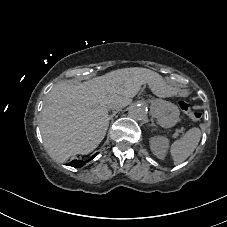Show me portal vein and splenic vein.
I'll return each instance as SVG.
<instances>
[{
  "instance_id": "portal-vein-and-splenic-vein-1",
  "label": "portal vein and splenic vein",
  "mask_w": 227,
  "mask_h": 227,
  "mask_svg": "<svg viewBox=\"0 0 227 227\" xmlns=\"http://www.w3.org/2000/svg\"><path fill=\"white\" fill-rule=\"evenodd\" d=\"M183 134L184 133V130L181 129V128H177L175 131H174V134L172 135L174 139H177L178 138V134Z\"/></svg>"
}]
</instances>
